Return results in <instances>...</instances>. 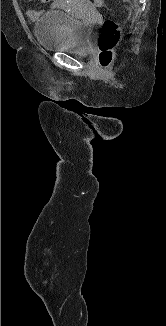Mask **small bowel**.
I'll use <instances>...</instances> for the list:
<instances>
[{
  "label": "small bowel",
  "mask_w": 166,
  "mask_h": 326,
  "mask_svg": "<svg viewBox=\"0 0 166 326\" xmlns=\"http://www.w3.org/2000/svg\"><path fill=\"white\" fill-rule=\"evenodd\" d=\"M28 2H32L33 0H27ZM77 0H40L41 3H50V7L52 9H57V8H65L68 5L76 2ZM79 1V0H78ZM42 15V11H37L34 9H27L26 10V16L31 20V21H37L40 16Z\"/></svg>",
  "instance_id": "small-bowel-1"
}]
</instances>
